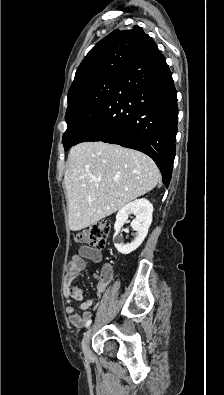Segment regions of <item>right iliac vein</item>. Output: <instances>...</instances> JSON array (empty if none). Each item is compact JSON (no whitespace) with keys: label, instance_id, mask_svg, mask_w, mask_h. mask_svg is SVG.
Wrapping results in <instances>:
<instances>
[{"label":"right iliac vein","instance_id":"right-iliac-vein-1","mask_svg":"<svg viewBox=\"0 0 224 395\" xmlns=\"http://www.w3.org/2000/svg\"><path fill=\"white\" fill-rule=\"evenodd\" d=\"M91 332H92V329L91 328L88 329L83 337V340H82V351L86 357L91 356V351H90V347H89Z\"/></svg>","mask_w":224,"mask_h":395}]
</instances>
